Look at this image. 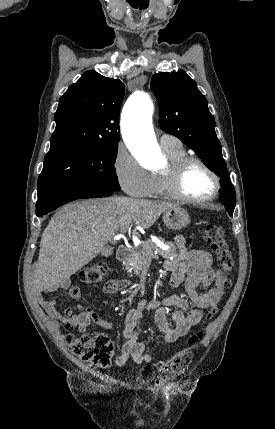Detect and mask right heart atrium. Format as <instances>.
<instances>
[{
    "label": "right heart atrium",
    "mask_w": 275,
    "mask_h": 429,
    "mask_svg": "<svg viewBox=\"0 0 275 429\" xmlns=\"http://www.w3.org/2000/svg\"><path fill=\"white\" fill-rule=\"evenodd\" d=\"M114 172L121 188L134 197L148 196L153 188V174L143 168L129 150L120 145L117 148Z\"/></svg>",
    "instance_id": "obj_1"
}]
</instances>
